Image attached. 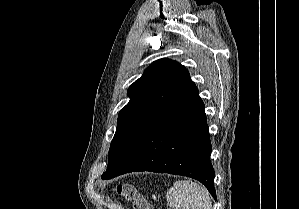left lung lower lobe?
I'll use <instances>...</instances> for the list:
<instances>
[{"instance_id": "1", "label": "left lung lower lobe", "mask_w": 299, "mask_h": 209, "mask_svg": "<svg viewBox=\"0 0 299 209\" xmlns=\"http://www.w3.org/2000/svg\"><path fill=\"white\" fill-rule=\"evenodd\" d=\"M211 150L204 103L191 82L138 129L102 179L134 171L183 175L199 180L216 199Z\"/></svg>"}]
</instances>
